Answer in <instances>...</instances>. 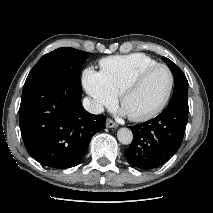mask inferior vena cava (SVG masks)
<instances>
[{
  "instance_id": "inferior-vena-cava-1",
  "label": "inferior vena cava",
  "mask_w": 213,
  "mask_h": 213,
  "mask_svg": "<svg viewBox=\"0 0 213 213\" xmlns=\"http://www.w3.org/2000/svg\"><path fill=\"white\" fill-rule=\"evenodd\" d=\"M83 107L92 114H100L104 111V107L94 99L85 97L82 101Z\"/></svg>"
}]
</instances>
